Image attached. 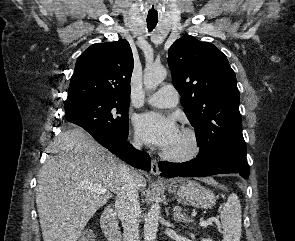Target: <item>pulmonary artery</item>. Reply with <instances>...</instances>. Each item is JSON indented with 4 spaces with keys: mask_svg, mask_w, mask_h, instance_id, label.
<instances>
[{
    "mask_svg": "<svg viewBox=\"0 0 295 241\" xmlns=\"http://www.w3.org/2000/svg\"><path fill=\"white\" fill-rule=\"evenodd\" d=\"M179 94L171 85L162 86L157 92L147 98V102L159 108H171L178 104Z\"/></svg>",
    "mask_w": 295,
    "mask_h": 241,
    "instance_id": "obj_1",
    "label": "pulmonary artery"
}]
</instances>
